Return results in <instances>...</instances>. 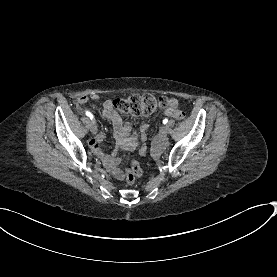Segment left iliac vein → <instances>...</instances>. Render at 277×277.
<instances>
[{
	"instance_id": "4c4485c4",
	"label": "left iliac vein",
	"mask_w": 277,
	"mask_h": 277,
	"mask_svg": "<svg viewBox=\"0 0 277 277\" xmlns=\"http://www.w3.org/2000/svg\"><path fill=\"white\" fill-rule=\"evenodd\" d=\"M160 132L163 136L167 135L168 127L167 126H162L161 129H160Z\"/></svg>"
}]
</instances>
